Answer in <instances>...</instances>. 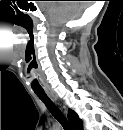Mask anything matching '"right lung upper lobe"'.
<instances>
[{"mask_svg": "<svg viewBox=\"0 0 123 130\" xmlns=\"http://www.w3.org/2000/svg\"><path fill=\"white\" fill-rule=\"evenodd\" d=\"M68 118L75 130H83L82 120L78 117L77 113L69 110Z\"/></svg>", "mask_w": 123, "mask_h": 130, "instance_id": "1", "label": "right lung upper lobe"}]
</instances>
